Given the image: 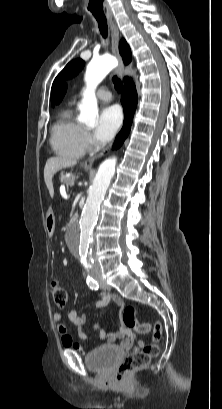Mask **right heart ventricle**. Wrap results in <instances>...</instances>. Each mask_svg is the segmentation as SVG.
I'll return each instance as SVG.
<instances>
[{"mask_svg": "<svg viewBox=\"0 0 222 409\" xmlns=\"http://www.w3.org/2000/svg\"><path fill=\"white\" fill-rule=\"evenodd\" d=\"M84 128L76 120L71 108L64 109L52 127L51 144L55 152L65 158H80L86 151Z\"/></svg>", "mask_w": 222, "mask_h": 409, "instance_id": "obj_1", "label": "right heart ventricle"}]
</instances>
